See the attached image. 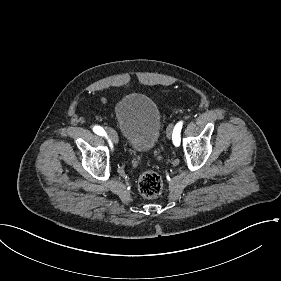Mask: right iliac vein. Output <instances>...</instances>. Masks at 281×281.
<instances>
[{
  "mask_svg": "<svg viewBox=\"0 0 281 281\" xmlns=\"http://www.w3.org/2000/svg\"><path fill=\"white\" fill-rule=\"evenodd\" d=\"M105 130H106L107 134L109 135V137L111 138V140L115 143H118L117 133L110 127H106Z\"/></svg>",
  "mask_w": 281,
  "mask_h": 281,
  "instance_id": "1",
  "label": "right iliac vein"
}]
</instances>
